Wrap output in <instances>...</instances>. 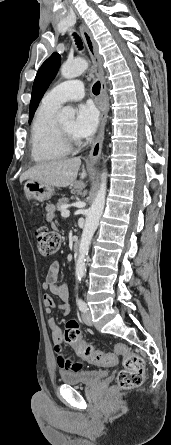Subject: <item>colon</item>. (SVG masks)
Segmentation results:
<instances>
[{"mask_svg":"<svg viewBox=\"0 0 171 445\" xmlns=\"http://www.w3.org/2000/svg\"><path fill=\"white\" fill-rule=\"evenodd\" d=\"M34 236L40 255L50 257L57 252L60 245L58 233L46 226H38L34 229ZM64 341L74 348L80 357L92 364L111 365L115 362L114 355L97 351L84 342L79 324L74 319H70L65 325ZM115 350L117 354L123 356V369L118 373L114 390H126L140 386L145 372L144 360L124 345L118 344Z\"/></svg>","mask_w":171,"mask_h":445,"instance_id":"colon-1","label":"colon"}]
</instances>
